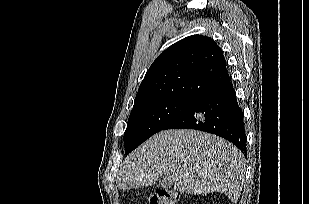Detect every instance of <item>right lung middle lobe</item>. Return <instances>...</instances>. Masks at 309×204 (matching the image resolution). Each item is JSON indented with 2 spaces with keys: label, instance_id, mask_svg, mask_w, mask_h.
<instances>
[{
  "label": "right lung middle lobe",
  "instance_id": "right-lung-middle-lobe-1",
  "mask_svg": "<svg viewBox=\"0 0 309 204\" xmlns=\"http://www.w3.org/2000/svg\"><path fill=\"white\" fill-rule=\"evenodd\" d=\"M197 102L192 99L162 98L135 104L124 133L125 153L129 154L153 134L163 130Z\"/></svg>",
  "mask_w": 309,
  "mask_h": 204
}]
</instances>
